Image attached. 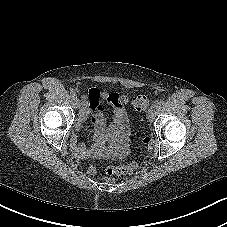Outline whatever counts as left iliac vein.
Here are the masks:
<instances>
[{
    "label": "left iliac vein",
    "mask_w": 227,
    "mask_h": 227,
    "mask_svg": "<svg viewBox=\"0 0 227 227\" xmlns=\"http://www.w3.org/2000/svg\"><path fill=\"white\" fill-rule=\"evenodd\" d=\"M157 109H158V106L156 104L150 107L147 114V118L149 121H152L155 118Z\"/></svg>",
    "instance_id": "4c4485c4"
}]
</instances>
